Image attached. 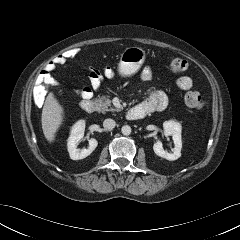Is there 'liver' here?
Here are the masks:
<instances>
[{
  "label": "liver",
  "mask_w": 240,
  "mask_h": 240,
  "mask_svg": "<svg viewBox=\"0 0 240 240\" xmlns=\"http://www.w3.org/2000/svg\"><path fill=\"white\" fill-rule=\"evenodd\" d=\"M63 119L64 109L50 92L46 97L41 116L42 130L49 143L55 140L56 132L62 125Z\"/></svg>",
  "instance_id": "1"
}]
</instances>
